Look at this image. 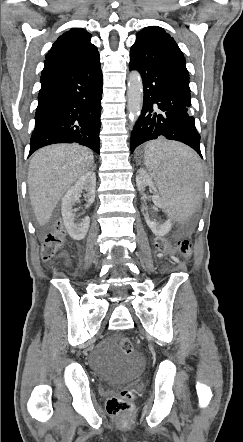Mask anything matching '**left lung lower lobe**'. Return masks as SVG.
I'll use <instances>...</instances> for the list:
<instances>
[{"label": "left lung lower lobe", "instance_id": "obj_1", "mask_svg": "<svg viewBox=\"0 0 243 442\" xmlns=\"http://www.w3.org/2000/svg\"><path fill=\"white\" fill-rule=\"evenodd\" d=\"M129 68L140 72L144 89L141 115L131 134V153L146 141L166 138L189 145L202 157L200 135L189 114V74L183 53L137 38L130 50Z\"/></svg>", "mask_w": 243, "mask_h": 442}]
</instances>
